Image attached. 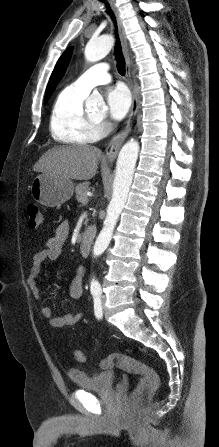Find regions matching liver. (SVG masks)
Listing matches in <instances>:
<instances>
[{
	"label": "liver",
	"mask_w": 219,
	"mask_h": 447,
	"mask_svg": "<svg viewBox=\"0 0 219 447\" xmlns=\"http://www.w3.org/2000/svg\"><path fill=\"white\" fill-rule=\"evenodd\" d=\"M101 157L102 151L94 146H58L44 153L33 170L64 179L89 180L96 174Z\"/></svg>",
	"instance_id": "1"
}]
</instances>
